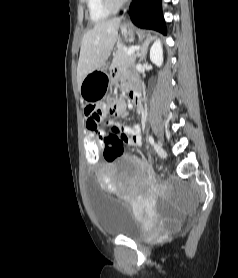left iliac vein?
<instances>
[{
  "instance_id": "4c4485c4",
  "label": "left iliac vein",
  "mask_w": 238,
  "mask_h": 278,
  "mask_svg": "<svg viewBox=\"0 0 238 278\" xmlns=\"http://www.w3.org/2000/svg\"><path fill=\"white\" fill-rule=\"evenodd\" d=\"M154 148H155V151H156V153L160 156V157H166V152H165V150L162 148V146L161 145H159V144H155L154 145Z\"/></svg>"
}]
</instances>
